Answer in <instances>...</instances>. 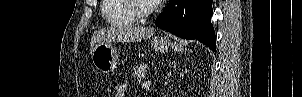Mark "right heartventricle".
Returning a JSON list of instances; mask_svg holds the SVG:
<instances>
[{"label":"right heart ventricle","mask_w":302,"mask_h":97,"mask_svg":"<svg viewBox=\"0 0 302 97\" xmlns=\"http://www.w3.org/2000/svg\"><path fill=\"white\" fill-rule=\"evenodd\" d=\"M102 15L112 26H131L136 24V18L129 12L126 0H103Z\"/></svg>","instance_id":"obj_1"}]
</instances>
